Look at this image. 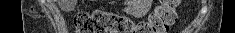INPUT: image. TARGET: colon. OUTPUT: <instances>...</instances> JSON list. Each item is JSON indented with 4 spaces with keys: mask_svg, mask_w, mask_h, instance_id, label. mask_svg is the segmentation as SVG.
I'll list each match as a JSON object with an SVG mask.
<instances>
[{
    "mask_svg": "<svg viewBox=\"0 0 235 33\" xmlns=\"http://www.w3.org/2000/svg\"><path fill=\"white\" fill-rule=\"evenodd\" d=\"M180 0L160 1L145 21L134 23L130 18L113 12L94 10L80 12L73 18L75 33H166L176 21Z\"/></svg>",
    "mask_w": 235,
    "mask_h": 33,
    "instance_id": "obj_1",
    "label": "colon"
}]
</instances>
